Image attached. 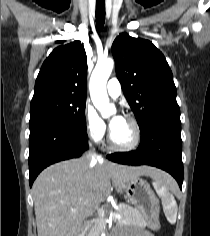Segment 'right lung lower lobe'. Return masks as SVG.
<instances>
[{
    "label": "right lung lower lobe",
    "mask_w": 210,
    "mask_h": 236,
    "mask_svg": "<svg viewBox=\"0 0 210 236\" xmlns=\"http://www.w3.org/2000/svg\"><path fill=\"white\" fill-rule=\"evenodd\" d=\"M88 148L86 130L69 125L45 124L30 129L29 183L47 166L80 157Z\"/></svg>",
    "instance_id": "1"
}]
</instances>
